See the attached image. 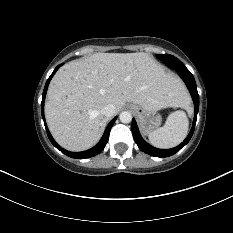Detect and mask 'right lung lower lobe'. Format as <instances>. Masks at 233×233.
<instances>
[{
  "label": "right lung lower lobe",
  "mask_w": 233,
  "mask_h": 233,
  "mask_svg": "<svg viewBox=\"0 0 233 233\" xmlns=\"http://www.w3.org/2000/svg\"><path fill=\"white\" fill-rule=\"evenodd\" d=\"M63 64H60L58 65L55 70L53 71V73L51 74V76L48 78L47 82H46V85H45V88H44V91H43V96H42V103H41V111H42V118L44 120V124H45V128H46V131H47V135H48V138L49 140L51 141V143L58 149L60 150L62 153H64L65 155L69 156V157H72V158H76V159H85V158H90V157H93L97 154H99L105 147V145L107 144L108 142V139H109V133H110V130H111V127L113 126L115 120L117 117H115L110 123L109 125L107 126L102 138L100 139V141L91 149L89 150H86V151H83V152H70V151H67L65 149H63L62 147H60L56 142L55 140L53 139V137L51 136L48 128H47V125H46V122H45V117H44V101H45V96H46V92H47V89H48V85L53 77V75L56 73V71L59 69L60 66H62Z\"/></svg>",
  "instance_id": "98d812e1"
}]
</instances>
